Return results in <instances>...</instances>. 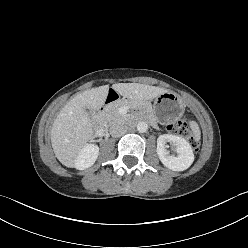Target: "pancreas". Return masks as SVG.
Masks as SVG:
<instances>
[{"label":"pancreas","instance_id":"pancreas-1","mask_svg":"<svg viewBox=\"0 0 248 248\" xmlns=\"http://www.w3.org/2000/svg\"><path fill=\"white\" fill-rule=\"evenodd\" d=\"M128 103L126 101H121L120 103L110 106L105 110V121L109 124H113L119 121H125L127 119L126 115L119 113V108L126 106Z\"/></svg>","mask_w":248,"mask_h":248}]
</instances>
